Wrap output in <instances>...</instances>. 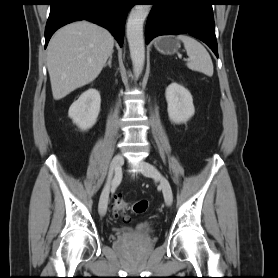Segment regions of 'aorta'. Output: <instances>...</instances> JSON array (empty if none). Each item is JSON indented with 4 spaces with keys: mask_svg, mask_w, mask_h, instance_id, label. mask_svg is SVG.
Instances as JSON below:
<instances>
[{
    "mask_svg": "<svg viewBox=\"0 0 278 278\" xmlns=\"http://www.w3.org/2000/svg\"><path fill=\"white\" fill-rule=\"evenodd\" d=\"M150 11V5H135L128 17L126 36L134 70L142 71L145 61L143 24Z\"/></svg>",
    "mask_w": 278,
    "mask_h": 278,
    "instance_id": "1",
    "label": "aorta"
}]
</instances>
